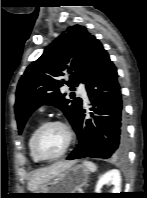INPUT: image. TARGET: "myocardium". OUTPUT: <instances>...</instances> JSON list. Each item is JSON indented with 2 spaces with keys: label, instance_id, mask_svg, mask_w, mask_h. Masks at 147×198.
<instances>
[{
  "label": "myocardium",
  "instance_id": "1",
  "mask_svg": "<svg viewBox=\"0 0 147 198\" xmlns=\"http://www.w3.org/2000/svg\"><path fill=\"white\" fill-rule=\"evenodd\" d=\"M50 126L62 127L66 133V142H65L63 149L58 154L53 155V156H45V155L41 154V152L39 151L37 143H38V139H39L41 133ZM72 141H73V131H72L71 127L65 121L50 120V121H46L43 124H41L38 127V129L35 131V133L32 137V151H33L34 155L40 161H53V160L60 158L67 152V150L69 149V147L72 144Z\"/></svg>",
  "mask_w": 147,
  "mask_h": 198
}]
</instances>
